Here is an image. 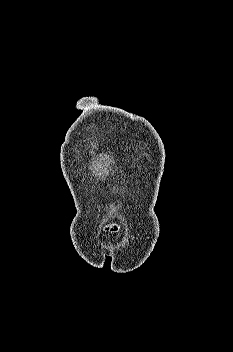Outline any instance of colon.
Returning <instances> with one entry per match:
<instances>
[{
  "mask_svg": "<svg viewBox=\"0 0 233 352\" xmlns=\"http://www.w3.org/2000/svg\"><path fill=\"white\" fill-rule=\"evenodd\" d=\"M108 229H109V230H114V229H115V226H109Z\"/></svg>",
  "mask_w": 233,
  "mask_h": 352,
  "instance_id": "1",
  "label": "colon"
}]
</instances>
